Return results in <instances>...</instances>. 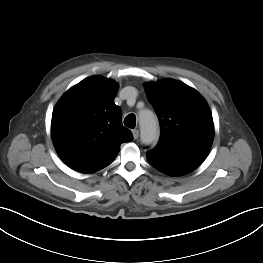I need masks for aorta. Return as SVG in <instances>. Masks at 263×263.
I'll list each match as a JSON object with an SVG mask.
<instances>
[{
  "mask_svg": "<svg viewBox=\"0 0 263 263\" xmlns=\"http://www.w3.org/2000/svg\"><path fill=\"white\" fill-rule=\"evenodd\" d=\"M138 119L142 144H153L158 138L156 115L152 111L146 109L139 112Z\"/></svg>",
  "mask_w": 263,
  "mask_h": 263,
  "instance_id": "obj_1",
  "label": "aorta"
}]
</instances>
